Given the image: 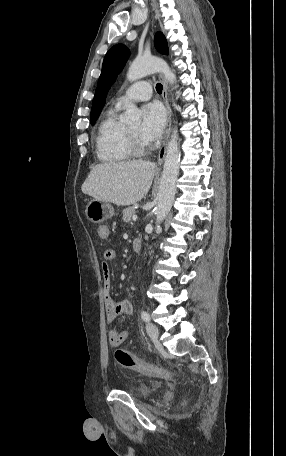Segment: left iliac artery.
I'll return each mask as SVG.
<instances>
[{"label": "left iliac artery", "mask_w": 286, "mask_h": 456, "mask_svg": "<svg viewBox=\"0 0 286 456\" xmlns=\"http://www.w3.org/2000/svg\"><path fill=\"white\" fill-rule=\"evenodd\" d=\"M141 317L146 322H148L150 320V316H149L148 312H146V311L141 312Z\"/></svg>", "instance_id": "left-iliac-artery-1"}]
</instances>
